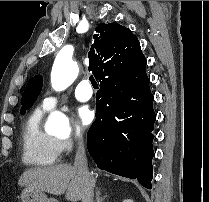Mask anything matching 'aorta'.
<instances>
[{
    "mask_svg": "<svg viewBox=\"0 0 209 202\" xmlns=\"http://www.w3.org/2000/svg\"><path fill=\"white\" fill-rule=\"evenodd\" d=\"M78 75V66L72 57L59 53L55 58L51 71V85L55 91L68 88ZM45 131L48 133H70L68 117L60 111L52 112L46 123Z\"/></svg>",
    "mask_w": 209,
    "mask_h": 202,
    "instance_id": "762f6f07",
    "label": "aorta"
}]
</instances>
